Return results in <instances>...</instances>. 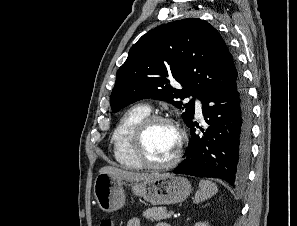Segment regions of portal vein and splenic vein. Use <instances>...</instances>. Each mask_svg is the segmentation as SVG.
I'll return each instance as SVG.
<instances>
[{"label": "portal vein and splenic vein", "instance_id": "18ae733b", "mask_svg": "<svg viewBox=\"0 0 297 226\" xmlns=\"http://www.w3.org/2000/svg\"><path fill=\"white\" fill-rule=\"evenodd\" d=\"M169 213H170L171 215H174V211H170ZM174 217H175V215H174Z\"/></svg>", "mask_w": 297, "mask_h": 226}]
</instances>
